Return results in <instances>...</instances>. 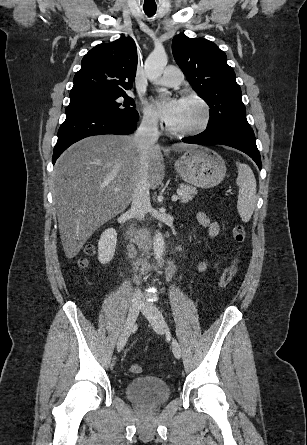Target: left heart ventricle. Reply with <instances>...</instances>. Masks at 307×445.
Segmentation results:
<instances>
[{
  "label": "left heart ventricle",
  "instance_id": "left-heart-ventricle-1",
  "mask_svg": "<svg viewBox=\"0 0 307 445\" xmlns=\"http://www.w3.org/2000/svg\"><path fill=\"white\" fill-rule=\"evenodd\" d=\"M202 117V110L196 103L183 100L177 118L169 125L173 129L182 130L197 125Z\"/></svg>",
  "mask_w": 307,
  "mask_h": 445
}]
</instances>
